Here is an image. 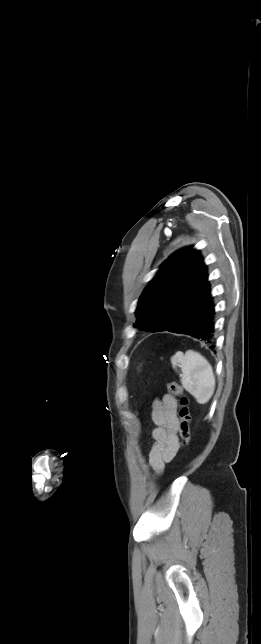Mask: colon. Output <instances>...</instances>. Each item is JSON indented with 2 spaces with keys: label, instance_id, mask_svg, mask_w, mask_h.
I'll list each match as a JSON object with an SVG mask.
<instances>
[{
  "label": "colon",
  "instance_id": "obj_1",
  "mask_svg": "<svg viewBox=\"0 0 261 644\" xmlns=\"http://www.w3.org/2000/svg\"><path fill=\"white\" fill-rule=\"evenodd\" d=\"M168 389L174 396L179 398V434L181 438V444L183 446L187 445L190 441L191 431V414L188 407V399L183 395L182 387L175 381L168 383Z\"/></svg>",
  "mask_w": 261,
  "mask_h": 644
}]
</instances>
